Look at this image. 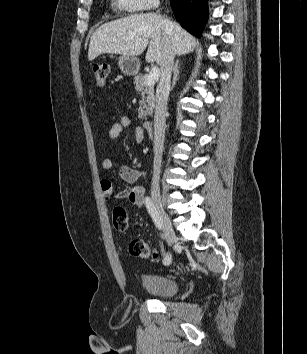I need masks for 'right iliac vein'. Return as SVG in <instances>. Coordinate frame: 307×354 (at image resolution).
Instances as JSON below:
<instances>
[{"mask_svg": "<svg viewBox=\"0 0 307 354\" xmlns=\"http://www.w3.org/2000/svg\"><path fill=\"white\" fill-rule=\"evenodd\" d=\"M153 200H154V203L159 211V215H160L161 222H162V229H163L164 238H165L167 244L169 246H171L176 241V235H175L174 230L172 228L170 218L163 207V203H162L160 197L157 195H154Z\"/></svg>", "mask_w": 307, "mask_h": 354, "instance_id": "1", "label": "right iliac vein"}]
</instances>
